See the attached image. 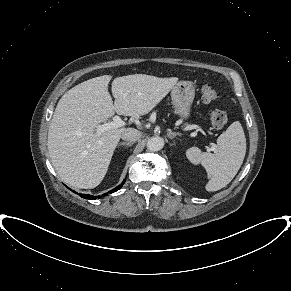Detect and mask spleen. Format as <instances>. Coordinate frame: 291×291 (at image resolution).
Here are the masks:
<instances>
[{"label":"spleen","instance_id":"obj_1","mask_svg":"<svg viewBox=\"0 0 291 291\" xmlns=\"http://www.w3.org/2000/svg\"><path fill=\"white\" fill-rule=\"evenodd\" d=\"M218 151L214 154L201 152L198 147L186 151L188 160L193 164H202L209 181V192L226 187L239 171L245 154L246 138L239 121L233 122L217 139Z\"/></svg>","mask_w":291,"mask_h":291}]
</instances>
